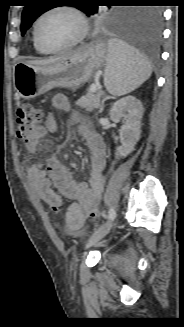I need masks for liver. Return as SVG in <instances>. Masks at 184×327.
Masks as SVG:
<instances>
[{"mask_svg": "<svg viewBox=\"0 0 184 327\" xmlns=\"http://www.w3.org/2000/svg\"><path fill=\"white\" fill-rule=\"evenodd\" d=\"M70 55L67 56H61V57H54V58H49V59H44V60H35V61H28L26 63L32 64V65H49V64H53V63H57L60 61H63L64 59H66L67 57H69Z\"/></svg>", "mask_w": 184, "mask_h": 327, "instance_id": "6515ba94", "label": "liver"}]
</instances>
